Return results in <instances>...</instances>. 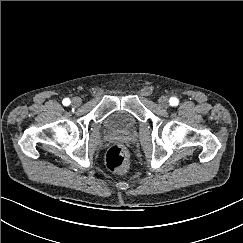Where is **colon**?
I'll return each instance as SVG.
<instances>
[{
	"instance_id": "1",
	"label": "colon",
	"mask_w": 243,
	"mask_h": 243,
	"mask_svg": "<svg viewBox=\"0 0 243 243\" xmlns=\"http://www.w3.org/2000/svg\"><path fill=\"white\" fill-rule=\"evenodd\" d=\"M106 165L113 172H125L128 168L126 150L120 145H113L110 147L106 154Z\"/></svg>"
}]
</instances>
